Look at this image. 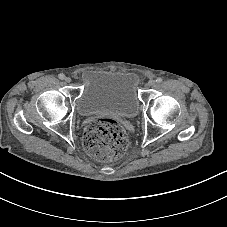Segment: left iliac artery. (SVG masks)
Returning <instances> with one entry per match:
<instances>
[{"instance_id": "1", "label": "left iliac artery", "mask_w": 227, "mask_h": 227, "mask_svg": "<svg viewBox=\"0 0 227 227\" xmlns=\"http://www.w3.org/2000/svg\"><path fill=\"white\" fill-rule=\"evenodd\" d=\"M156 82H157V83H161V82H162V78H161V77L157 78V79H156Z\"/></svg>"}]
</instances>
